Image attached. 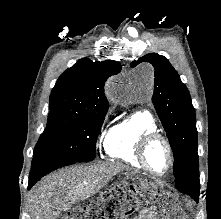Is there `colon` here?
<instances>
[{"label": "colon", "mask_w": 221, "mask_h": 219, "mask_svg": "<svg viewBox=\"0 0 221 219\" xmlns=\"http://www.w3.org/2000/svg\"><path fill=\"white\" fill-rule=\"evenodd\" d=\"M146 194H139V207L129 212H135L139 208H146L153 199H146ZM125 201V209H131L135 205V197L125 189L117 187L101 195L96 201L89 203L87 206L75 208L67 217L63 219H110L115 216L118 210V202ZM158 210L163 219H187L185 213L181 210H172L165 199H158Z\"/></svg>", "instance_id": "5ec220e1"}]
</instances>
